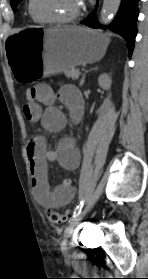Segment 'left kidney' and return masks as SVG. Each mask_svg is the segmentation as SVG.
<instances>
[{"mask_svg": "<svg viewBox=\"0 0 148 279\" xmlns=\"http://www.w3.org/2000/svg\"><path fill=\"white\" fill-rule=\"evenodd\" d=\"M98 83L102 89L108 91L111 88L112 80L108 74L104 73L99 76ZM110 96L111 95L109 94L108 97L105 99L103 106L96 112L97 114H100L101 112L109 108V106L111 105Z\"/></svg>", "mask_w": 148, "mask_h": 279, "instance_id": "1", "label": "left kidney"}]
</instances>
